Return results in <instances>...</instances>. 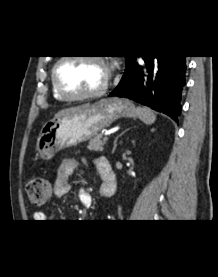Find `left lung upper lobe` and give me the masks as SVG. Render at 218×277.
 <instances>
[{
  "label": "left lung upper lobe",
  "mask_w": 218,
  "mask_h": 277,
  "mask_svg": "<svg viewBox=\"0 0 218 277\" xmlns=\"http://www.w3.org/2000/svg\"><path fill=\"white\" fill-rule=\"evenodd\" d=\"M133 57L134 56H131V55L125 56V58H126V64H128Z\"/></svg>",
  "instance_id": "obj_1"
}]
</instances>
